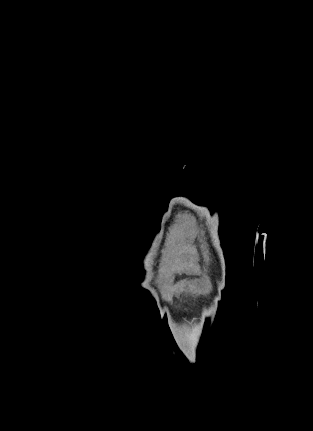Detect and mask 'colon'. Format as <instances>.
<instances>
[{"mask_svg":"<svg viewBox=\"0 0 313 431\" xmlns=\"http://www.w3.org/2000/svg\"><path fill=\"white\" fill-rule=\"evenodd\" d=\"M234 116H236V115H234V114L231 115V117H234Z\"/></svg>","mask_w":313,"mask_h":431,"instance_id":"obj_1","label":"colon"}]
</instances>
